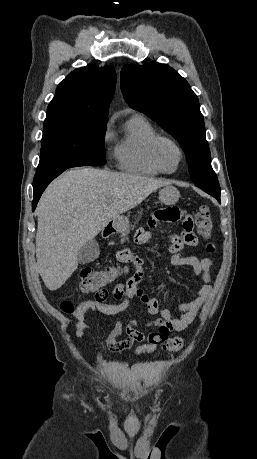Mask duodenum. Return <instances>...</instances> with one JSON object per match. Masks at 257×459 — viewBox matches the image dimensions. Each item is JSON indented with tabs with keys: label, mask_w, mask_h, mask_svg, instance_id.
Wrapping results in <instances>:
<instances>
[{
	"label": "duodenum",
	"mask_w": 257,
	"mask_h": 459,
	"mask_svg": "<svg viewBox=\"0 0 257 459\" xmlns=\"http://www.w3.org/2000/svg\"><path fill=\"white\" fill-rule=\"evenodd\" d=\"M114 232V224H110L108 225L107 227H105V229L103 230L102 234L105 238L109 237L110 235H112Z\"/></svg>",
	"instance_id": "1"
}]
</instances>
